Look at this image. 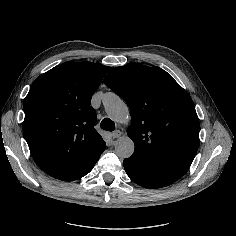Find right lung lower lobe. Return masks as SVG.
<instances>
[{"label": "right lung lower lobe", "instance_id": "obj_1", "mask_svg": "<svg viewBox=\"0 0 236 236\" xmlns=\"http://www.w3.org/2000/svg\"><path fill=\"white\" fill-rule=\"evenodd\" d=\"M100 155L98 157H96L94 160H92L89 164H87L78 174H76V176L72 179H80L81 177L85 176L86 174H88L92 168L94 167L95 163L97 162V160L99 159ZM70 180V181H72Z\"/></svg>", "mask_w": 236, "mask_h": 236}]
</instances>
